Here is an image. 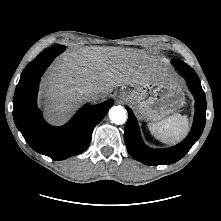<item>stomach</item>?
I'll use <instances>...</instances> for the list:
<instances>
[{
    "mask_svg": "<svg viewBox=\"0 0 221 221\" xmlns=\"http://www.w3.org/2000/svg\"><path fill=\"white\" fill-rule=\"evenodd\" d=\"M124 93L128 94V102L136 107L140 117L148 121H159L185 103L182 83L166 74Z\"/></svg>",
    "mask_w": 221,
    "mask_h": 221,
    "instance_id": "1",
    "label": "stomach"
}]
</instances>
